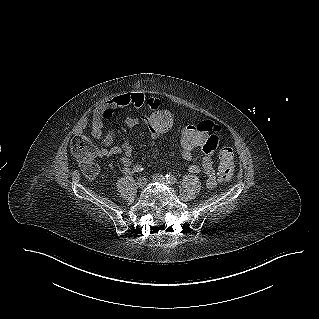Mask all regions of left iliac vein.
<instances>
[{
  "instance_id": "obj_1",
  "label": "left iliac vein",
  "mask_w": 319,
  "mask_h": 319,
  "mask_svg": "<svg viewBox=\"0 0 319 319\" xmlns=\"http://www.w3.org/2000/svg\"><path fill=\"white\" fill-rule=\"evenodd\" d=\"M152 179L156 182H159V183H166V179L164 176L160 175V174H155L153 175Z\"/></svg>"
}]
</instances>
